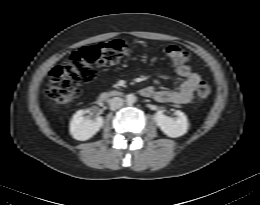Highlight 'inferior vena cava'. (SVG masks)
Wrapping results in <instances>:
<instances>
[{
  "mask_svg": "<svg viewBox=\"0 0 260 205\" xmlns=\"http://www.w3.org/2000/svg\"><path fill=\"white\" fill-rule=\"evenodd\" d=\"M123 99L120 97H113L109 100L111 110H117L123 106Z\"/></svg>",
  "mask_w": 260,
  "mask_h": 205,
  "instance_id": "obj_1",
  "label": "inferior vena cava"
}]
</instances>
